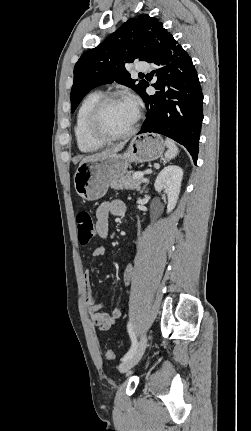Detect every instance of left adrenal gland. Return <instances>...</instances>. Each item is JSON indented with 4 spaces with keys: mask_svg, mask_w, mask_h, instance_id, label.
Segmentation results:
<instances>
[{
    "mask_svg": "<svg viewBox=\"0 0 251 431\" xmlns=\"http://www.w3.org/2000/svg\"><path fill=\"white\" fill-rule=\"evenodd\" d=\"M148 183H149V180L145 183V185L143 186V188H142V190L140 191V193H143V192L145 191V189H146V187H147Z\"/></svg>",
    "mask_w": 251,
    "mask_h": 431,
    "instance_id": "a2214340",
    "label": "left adrenal gland"
}]
</instances>
